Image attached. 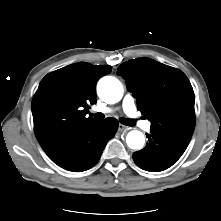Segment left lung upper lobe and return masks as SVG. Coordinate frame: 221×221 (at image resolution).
<instances>
[{
    "label": "left lung upper lobe",
    "instance_id": "left-lung-upper-lobe-1",
    "mask_svg": "<svg viewBox=\"0 0 221 221\" xmlns=\"http://www.w3.org/2000/svg\"><path fill=\"white\" fill-rule=\"evenodd\" d=\"M117 74L151 121V132L187 147L195 128V98L187 76L150 58L124 62Z\"/></svg>",
    "mask_w": 221,
    "mask_h": 221
}]
</instances>
